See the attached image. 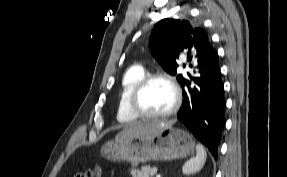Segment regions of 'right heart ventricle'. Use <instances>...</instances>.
<instances>
[{"instance_id": "obj_1", "label": "right heart ventricle", "mask_w": 287, "mask_h": 177, "mask_svg": "<svg viewBox=\"0 0 287 177\" xmlns=\"http://www.w3.org/2000/svg\"><path fill=\"white\" fill-rule=\"evenodd\" d=\"M144 75L143 67L132 66L125 71L121 78L118 90L117 118L122 123H133L139 119L130 109L129 98L132 90Z\"/></svg>"}]
</instances>
